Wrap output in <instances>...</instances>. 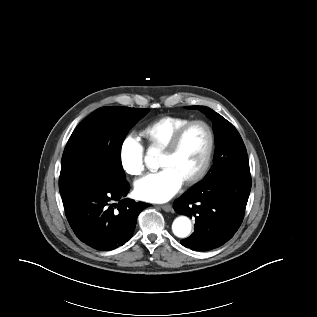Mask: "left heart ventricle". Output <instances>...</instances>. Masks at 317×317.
Here are the masks:
<instances>
[{"instance_id": "left-heart-ventricle-1", "label": "left heart ventricle", "mask_w": 317, "mask_h": 317, "mask_svg": "<svg viewBox=\"0 0 317 317\" xmlns=\"http://www.w3.org/2000/svg\"><path fill=\"white\" fill-rule=\"evenodd\" d=\"M209 143L206 129L201 125L192 126L184 135L175 154H162L161 168H172L185 181L193 176L203 163Z\"/></svg>"}]
</instances>
